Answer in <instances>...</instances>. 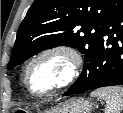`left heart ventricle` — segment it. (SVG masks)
<instances>
[{
	"label": "left heart ventricle",
	"mask_w": 123,
	"mask_h": 113,
	"mask_svg": "<svg viewBox=\"0 0 123 113\" xmlns=\"http://www.w3.org/2000/svg\"><path fill=\"white\" fill-rule=\"evenodd\" d=\"M63 60L50 58L34 66L29 73V84L37 92L46 90L61 74Z\"/></svg>",
	"instance_id": "1"
}]
</instances>
